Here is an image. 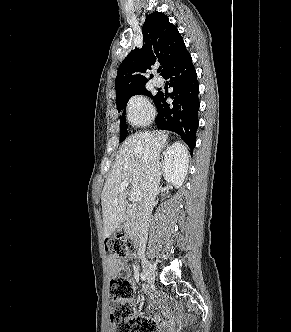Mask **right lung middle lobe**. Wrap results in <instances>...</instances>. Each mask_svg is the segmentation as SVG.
Listing matches in <instances>:
<instances>
[{
  "label": "right lung middle lobe",
  "mask_w": 291,
  "mask_h": 332,
  "mask_svg": "<svg viewBox=\"0 0 291 332\" xmlns=\"http://www.w3.org/2000/svg\"><path fill=\"white\" fill-rule=\"evenodd\" d=\"M138 94L149 96L153 100L156 99V95L152 96L150 91L146 90L145 87H142V88L136 89V90L128 93L121 99L116 100L118 112H121L122 110H124L122 116H120V123H121V125H120V142H122L127 136V126H125V123H126L125 108H126L127 101L129 100L130 97H132L134 95H138Z\"/></svg>",
  "instance_id": "obj_1"
}]
</instances>
